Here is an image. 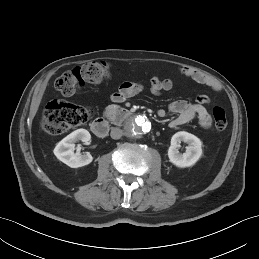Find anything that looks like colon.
Masks as SVG:
<instances>
[{"label":"colon","mask_w":259,"mask_h":259,"mask_svg":"<svg viewBox=\"0 0 259 259\" xmlns=\"http://www.w3.org/2000/svg\"><path fill=\"white\" fill-rule=\"evenodd\" d=\"M109 72V65L106 62L92 61L63 73L56 80L55 86L63 96H70L85 84L99 83L107 79ZM92 115L93 110L89 107L52 100L44 110L43 126L48 134L60 135L86 123ZM212 117L218 131H223L227 127V117L222 107H213Z\"/></svg>","instance_id":"obj_1"}]
</instances>
